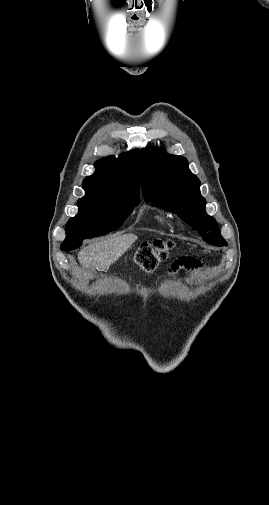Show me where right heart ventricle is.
Listing matches in <instances>:
<instances>
[{
	"label": "right heart ventricle",
	"instance_id": "right-heart-ventricle-1",
	"mask_svg": "<svg viewBox=\"0 0 269 505\" xmlns=\"http://www.w3.org/2000/svg\"><path fill=\"white\" fill-rule=\"evenodd\" d=\"M153 218L161 225L170 226V219L164 214H155L153 215Z\"/></svg>",
	"mask_w": 269,
	"mask_h": 505
}]
</instances>
